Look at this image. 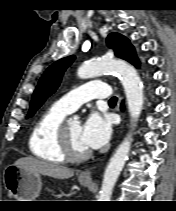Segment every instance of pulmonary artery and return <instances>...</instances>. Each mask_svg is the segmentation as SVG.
I'll list each match as a JSON object with an SVG mask.
<instances>
[{"instance_id": "obj_1", "label": "pulmonary artery", "mask_w": 176, "mask_h": 211, "mask_svg": "<svg viewBox=\"0 0 176 211\" xmlns=\"http://www.w3.org/2000/svg\"><path fill=\"white\" fill-rule=\"evenodd\" d=\"M111 91L107 83L103 81H91L77 87L63 95L57 103L69 113L74 112L82 104L93 99L108 98Z\"/></svg>"}]
</instances>
